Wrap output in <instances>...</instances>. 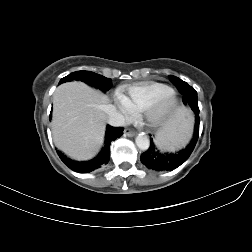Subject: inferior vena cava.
I'll list each match as a JSON object with an SVG mask.
<instances>
[{"mask_svg": "<svg viewBox=\"0 0 252 252\" xmlns=\"http://www.w3.org/2000/svg\"><path fill=\"white\" fill-rule=\"evenodd\" d=\"M107 114V122L112 126H125V119L121 113H119L113 105H106L104 108Z\"/></svg>", "mask_w": 252, "mask_h": 252, "instance_id": "obj_1", "label": "inferior vena cava"}]
</instances>
